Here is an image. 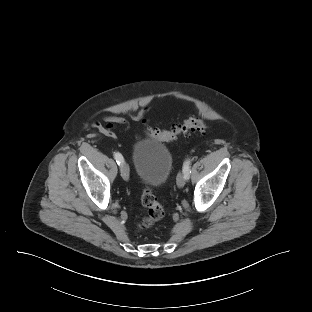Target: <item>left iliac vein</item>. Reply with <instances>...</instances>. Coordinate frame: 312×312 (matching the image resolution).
I'll list each match as a JSON object with an SVG mask.
<instances>
[{
  "label": "left iliac vein",
  "instance_id": "1",
  "mask_svg": "<svg viewBox=\"0 0 312 312\" xmlns=\"http://www.w3.org/2000/svg\"><path fill=\"white\" fill-rule=\"evenodd\" d=\"M186 183V177L184 175V173L180 172L178 175H177V186L178 187H183Z\"/></svg>",
  "mask_w": 312,
  "mask_h": 312
}]
</instances>
